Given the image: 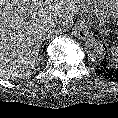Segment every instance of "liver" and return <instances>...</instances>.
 <instances>
[{
    "label": "liver",
    "mask_w": 118,
    "mask_h": 118,
    "mask_svg": "<svg viewBox=\"0 0 118 118\" xmlns=\"http://www.w3.org/2000/svg\"><path fill=\"white\" fill-rule=\"evenodd\" d=\"M76 0H0V77L28 76L51 26L73 19Z\"/></svg>",
    "instance_id": "1"
}]
</instances>
